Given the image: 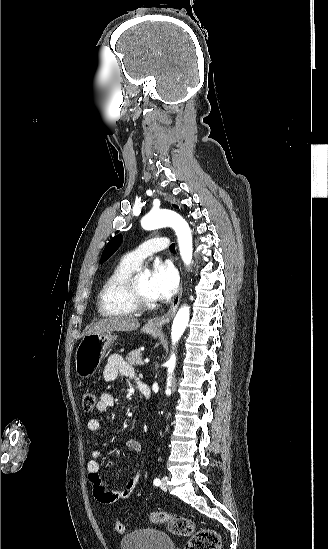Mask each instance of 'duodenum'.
<instances>
[{
  "mask_svg": "<svg viewBox=\"0 0 328 549\" xmlns=\"http://www.w3.org/2000/svg\"><path fill=\"white\" fill-rule=\"evenodd\" d=\"M136 385H137V388L139 390V392L145 397V398H150L151 396V390H150V387L148 384L140 381V380H136Z\"/></svg>",
  "mask_w": 328,
  "mask_h": 549,
  "instance_id": "1",
  "label": "duodenum"
}]
</instances>
